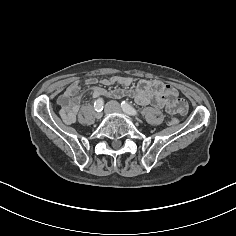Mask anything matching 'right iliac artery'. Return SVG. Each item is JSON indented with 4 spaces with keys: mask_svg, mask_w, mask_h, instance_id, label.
<instances>
[{
    "mask_svg": "<svg viewBox=\"0 0 236 236\" xmlns=\"http://www.w3.org/2000/svg\"><path fill=\"white\" fill-rule=\"evenodd\" d=\"M94 107H95V110H96L97 112L102 111V110H103V107H104V101H103V99H102V98L97 99V100L95 101V103H94Z\"/></svg>",
    "mask_w": 236,
    "mask_h": 236,
    "instance_id": "obj_1",
    "label": "right iliac artery"
}]
</instances>
